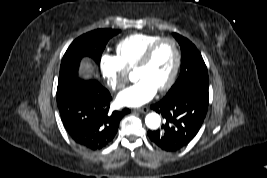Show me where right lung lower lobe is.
Masks as SVG:
<instances>
[{"label": "right lung lower lobe", "instance_id": "1", "mask_svg": "<svg viewBox=\"0 0 267 178\" xmlns=\"http://www.w3.org/2000/svg\"><path fill=\"white\" fill-rule=\"evenodd\" d=\"M111 95L96 80L76 78L58 82L57 105L71 139L89 150L106 147L117 133L120 120L130 112H109Z\"/></svg>", "mask_w": 267, "mask_h": 178}]
</instances>
